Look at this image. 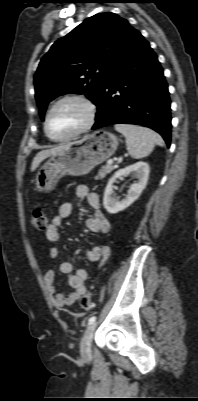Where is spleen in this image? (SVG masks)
Instances as JSON below:
<instances>
[{
	"label": "spleen",
	"instance_id": "1",
	"mask_svg": "<svg viewBox=\"0 0 198 401\" xmlns=\"http://www.w3.org/2000/svg\"><path fill=\"white\" fill-rule=\"evenodd\" d=\"M115 129L125 136L128 153L134 159L148 156L155 145L164 146L162 137L151 129L128 124H116Z\"/></svg>",
	"mask_w": 198,
	"mask_h": 401
}]
</instances>
